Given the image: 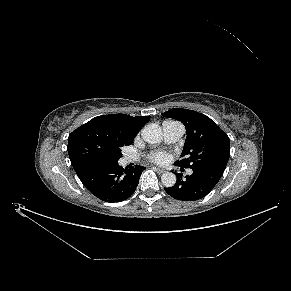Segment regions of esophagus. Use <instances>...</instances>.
Wrapping results in <instances>:
<instances>
[{"label": "esophagus", "mask_w": 291, "mask_h": 291, "mask_svg": "<svg viewBox=\"0 0 291 291\" xmlns=\"http://www.w3.org/2000/svg\"><path fill=\"white\" fill-rule=\"evenodd\" d=\"M153 169H154L155 171H157V173H159V174H162V173L165 172V169H163V168L154 167Z\"/></svg>", "instance_id": "esophagus-1"}]
</instances>
